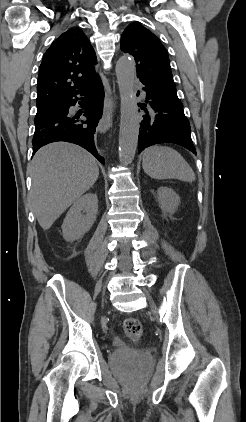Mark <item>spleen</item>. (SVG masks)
<instances>
[{
	"instance_id": "3e777b00",
	"label": "spleen",
	"mask_w": 246,
	"mask_h": 422,
	"mask_svg": "<svg viewBox=\"0 0 246 422\" xmlns=\"http://www.w3.org/2000/svg\"><path fill=\"white\" fill-rule=\"evenodd\" d=\"M144 172L154 179H179L192 182L195 173L182 155L168 146L154 145L144 151Z\"/></svg>"
}]
</instances>
